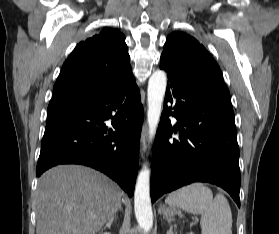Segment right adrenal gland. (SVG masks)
I'll return each instance as SVG.
<instances>
[{
  "mask_svg": "<svg viewBox=\"0 0 279 234\" xmlns=\"http://www.w3.org/2000/svg\"><path fill=\"white\" fill-rule=\"evenodd\" d=\"M115 217H116V215H113L112 217H111V219L106 223V225L104 226V229H106V228H111V225H112V223H113V221L115 220Z\"/></svg>",
  "mask_w": 279,
  "mask_h": 234,
  "instance_id": "1",
  "label": "right adrenal gland"
}]
</instances>
